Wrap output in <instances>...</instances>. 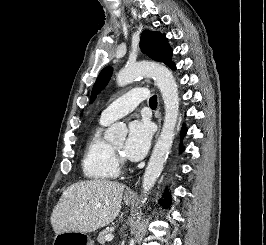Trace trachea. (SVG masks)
Returning a JSON list of instances; mask_svg holds the SVG:
<instances>
[{
	"label": "trachea",
	"instance_id": "1",
	"mask_svg": "<svg viewBox=\"0 0 266 245\" xmlns=\"http://www.w3.org/2000/svg\"><path fill=\"white\" fill-rule=\"evenodd\" d=\"M149 104H150V106H152V105H157V97H156V95H153V96L149 99Z\"/></svg>",
	"mask_w": 266,
	"mask_h": 245
}]
</instances>
